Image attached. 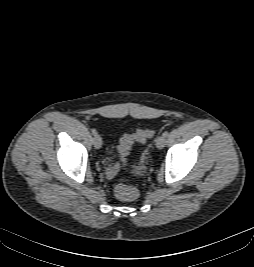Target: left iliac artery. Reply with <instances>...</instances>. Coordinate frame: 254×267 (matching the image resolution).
<instances>
[{"instance_id":"left-iliac-artery-1","label":"left iliac artery","mask_w":254,"mask_h":267,"mask_svg":"<svg viewBox=\"0 0 254 267\" xmlns=\"http://www.w3.org/2000/svg\"><path fill=\"white\" fill-rule=\"evenodd\" d=\"M168 134H169V132H168V131H165L162 135H163L164 137H167Z\"/></svg>"}]
</instances>
